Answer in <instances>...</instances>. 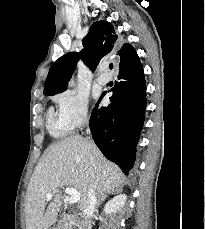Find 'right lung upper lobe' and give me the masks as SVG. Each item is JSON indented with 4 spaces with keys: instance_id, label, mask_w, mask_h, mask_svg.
I'll return each instance as SVG.
<instances>
[{
    "instance_id": "cb5924a9",
    "label": "right lung upper lobe",
    "mask_w": 205,
    "mask_h": 229,
    "mask_svg": "<svg viewBox=\"0 0 205 229\" xmlns=\"http://www.w3.org/2000/svg\"><path fill=\"white\" fill-rule=\"evenodd\" d=\"M116 41L117 35L109 22H95L83 39L84 49L79 53L69 52L63 55L51 66L44 85V94L55 95L66 90L67 82L79 58L94 71L103 57L114 52ZM117 55L120 57L119 69L129 67L139 59L134 48L127 43L121 47Z\"/></svg>"
}]
</instances>
